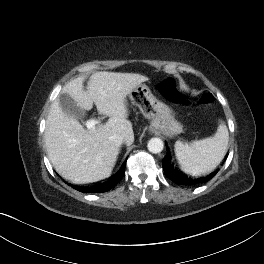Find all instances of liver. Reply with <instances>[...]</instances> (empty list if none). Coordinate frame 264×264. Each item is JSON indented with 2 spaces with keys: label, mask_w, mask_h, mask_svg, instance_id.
Instances as JSON below:
<instances>
[{
  "label": "liver",
  "mask_w": 264,
  "mask_h": 264,
  "mask_svg": "<svg viewBox=\"0 0 264 264\" xmlns=\"http://www.w3.org/2000/svg\"><path fill=\"white\" fill-rule=\"evenodd\" d=\"M84 77H78L63 88L83 110L93 103L101 115L108 116L105 124L84 129L75 118L68 117L57 98L51 105L44 133L48 157L60 176L75 184L96 182L112 173L119 144L110 140L113 135L125 138L126 145L134 141L132 123L127 119L126 96L148 77L133 73L96 72L84 90Z\"/></svg>",
  "instance_id": "1"
}]
</instances>
